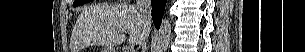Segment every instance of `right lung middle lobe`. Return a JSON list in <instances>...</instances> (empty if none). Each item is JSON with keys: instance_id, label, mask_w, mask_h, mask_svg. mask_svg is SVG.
<instances>
[{"instance_id": "right-lung-middle-lobe-1", "label": "right lung middle lobe", "mask_w": 305, "mask_h": 52, "mask_svg": "<svg viewBox=\"0 0 305 52\" xmlns=\"http://www.w3.org/2000/svg\"><path fill=\"white\" fill-rule=\"evenodd\" d=\"M90 0H77L73 3L74 6H79L81 4H84V3H87L89 2Z\"/></svg>"}]
</instances>
